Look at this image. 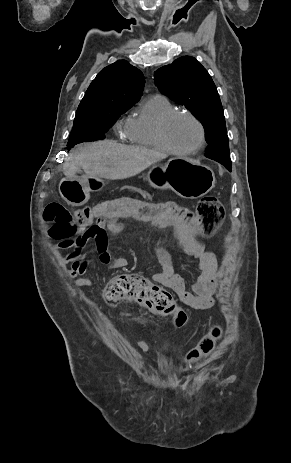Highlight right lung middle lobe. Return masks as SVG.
<instances>
[{"instance_id": "obj_1", "label": "right lung middle lobe", "mask_w": 291, "mask_h": 463, "mask_svg": "<svg viewBox=\"0 0 291 463\" xmlns=\"http://www.w3.org/2000/svg\"><path fill=\"white\" fill-rule=\"evenodd\" d=\"M132 106L133 104L108 103L95 109L76 112L67 148H73L82 142L104 139L105 133L115 121Z\"/></svg>"}]
</instances>
